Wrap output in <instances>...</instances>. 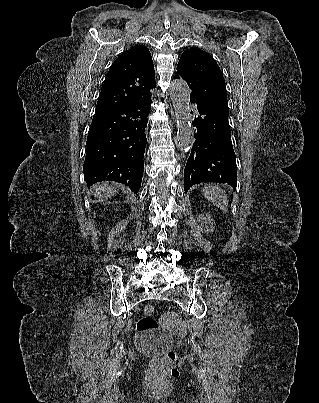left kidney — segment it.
Returning a JSON list of instances; mask_svg holds the SVG:
<instances>
[{
	"instance_id": "left-kidney-1",
	"label": "left kidney",
	"mask_w": 319,
	"mask_h": 403,
	"mask_svg": "<svg viewBox=\"0 0 319 403\" xmlns=\"http://www.w3.org/2000/svg\"><path fill=\"white\" fill-rule=\"evenodd\" d=\"M209 219H210V216H207ZM203 218H205V217H203Z\"/></svg>"
}]
</instances>
